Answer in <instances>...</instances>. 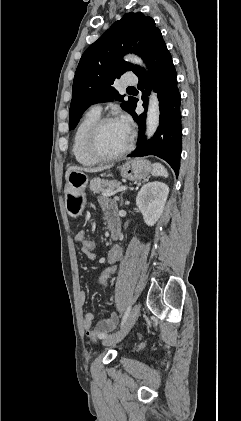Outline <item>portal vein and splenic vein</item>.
Instances as JSON below:
<instances>
[{"label": "portal vein and splenic vein", "mask_w": 241, "mask_h": 421, "mask_svg": "<svg viewBox=\"0 0 241 421\" xmlns=\"http://www.w3.org/2000/svg\"><path fill=\"white\" fill-rule=\"evenodd\" d=\"M127 189V187L126 186H121V187H119L116 191H107V192H103L102 194L104 195V196H111V195H115L117 192H119V191H124V190H126Z\"/></svg>", "instance_id": "obj_1"}]
</instances>
